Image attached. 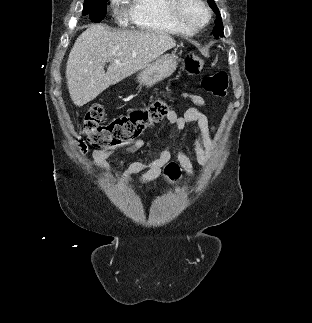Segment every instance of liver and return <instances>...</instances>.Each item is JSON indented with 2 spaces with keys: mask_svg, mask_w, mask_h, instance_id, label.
<instances>
[{
  "mask_svg": "<svg viewBox=\"0 0 312 323\" xmlns=\"http://www.w3.org/2000/svg\"><path fill=\"white\" fill-rule=\"evenodd\" d=\"M175 46L169 34L112 32L106 24H92L77 38L67 60L65 74L73 104L84 106L112 84L144 70ZM114 60H120V64ZM106 62H110L107 72Z\"/></svg>",
  "mask_w": 312,
  "mask_h": 323,
  "instance_id": "obj_1",
  "label": "liver"
}]
</instances>
